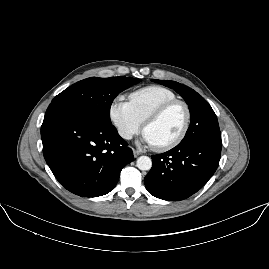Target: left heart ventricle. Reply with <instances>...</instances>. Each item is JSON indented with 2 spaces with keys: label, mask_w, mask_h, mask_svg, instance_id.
Segmentation results:
<instances>
[{
  "label": "left heart ventricle",
  "mask_w": 269,
  "mask_h": 269,
  "mask_svg": "<svg viewBox=\"0 0 269 269\" xmlns=\"http://www.w3.org/2000/svg\"><path fill=\"white\" fill-rule=\"evenodd\" d=\"M185 123V111L175 105L157 119L153 120L145 130V135L154 146L165 145L174 140L182 131Z\"/></svg>",
  "instance_id": "obj_1"
}]
</instances>
